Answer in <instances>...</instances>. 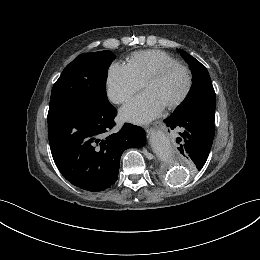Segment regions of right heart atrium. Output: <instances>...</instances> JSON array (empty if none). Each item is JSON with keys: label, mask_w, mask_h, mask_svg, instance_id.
Listing matches in <instances>:
<instances>
[{"label": "right heart atrium", "mask_w": 260, "mask_h": 260, "mask_svg": "<svg viewBox=\"0 0 260 260\" xmlns=\"http://www.w3.org/2000/svg\"><path fill=\"white\" fill-rule=\"evenodd\" d=\"M107 95L115 104H125L136 94L141 84L123 64H112L106 79Z\"/></svg>", "instance_id": "1"}]
</instances>
